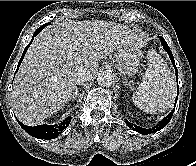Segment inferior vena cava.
Instances as JSON below:
<instances>
[{"instance_id": "602c4592", "label": "inferior vena cava", "mask_w": 196, "mask_h": 166, "mask_svg": "<svg viewBox=\"0 0 196 166\" xmlns=\"http://www.w3.org/2000/svg\"><path fill=\"white\" fill-rule=\"evenodd\" d=\"M90 78L89 73L85 72H77L74 76V82L75 84H83L85 81H87Z\"/></svg>"}]
</instances>
